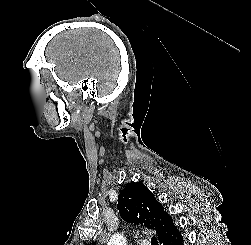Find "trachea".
<instances>
[{
	"instance_id": "1",
	"label": "trachea",
	"mask_w": 251,
	"mask_h": 245,
	"mask_svg": "<svg viewBox=\"0 0 251 245\" xmlns=\"http://www.w3.org/2000/svg\"><path fill=\"white\" fill-rule=\"evenodd\" d=\"M151 245H158V241H157V238L155 236H153L151 238Z\"/></svg>"
}]
</instances>
